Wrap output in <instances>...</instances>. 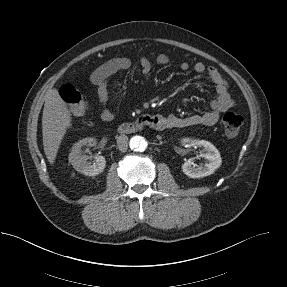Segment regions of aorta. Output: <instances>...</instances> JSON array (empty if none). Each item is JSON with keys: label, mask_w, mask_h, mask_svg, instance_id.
I'll return each instance as SVG.
<instances>
[{"label": "aorta", "mask_w": 287, "mask_h": 287, "mask_svg": "<svg viewBox=\"0 0 287 287\" xmlns=\"http://www.w3.org/2000/svg\"><path fill=\"white\" fill-rule=\"evenodd\" d=\"M130 148L134 151H144L147 148V141L142 136H134L130 139Z\"/></svg>", "instance_id": "aorta-1"}]
</instances>
